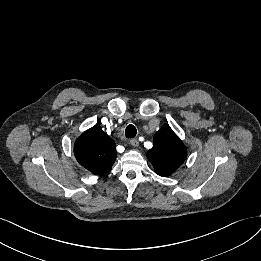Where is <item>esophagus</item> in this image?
<instances>
[{
  "mask_svg": "<svg viewBox=\"0 0 261 261\" xmlns=\"http://www.w3.org/2000/svg\"><path fill=\"white\" fill-rule=\"evenodd\" d=\"M130 144L133 146V147H138L139 146V142L137 139H131L130 140Z\"/></svg>",
  "mask_w": 261,
  "mask_h": 261,
  "instance_id": "obj_1",
  "label": "esophagus"
}]
</instances>
